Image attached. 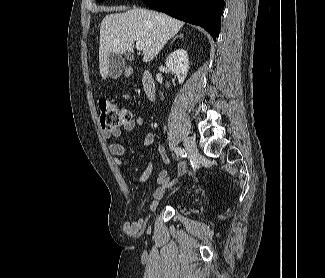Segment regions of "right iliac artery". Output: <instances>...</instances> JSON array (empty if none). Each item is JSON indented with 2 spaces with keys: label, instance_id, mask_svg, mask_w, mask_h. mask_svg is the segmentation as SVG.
Returning a JSON list of instances; mask_svg holds the SVG:
<instances>
[{
  "label": "right iliac artery",
  "instance_id": "82829eb1",
  "mask_svg": "<svg viewBox=\"0 0 325 278\" xmlns=\"http://www.w3.org/2000/svg\"><path fill=\"white\" fill-rule=\"evenodd\" d=\"M175 153L181 157H187L186 151L181 147L175 148Z\"/></svg>",
  "mask_w": 325,
  "mask_h": 278
}]
</instances>
